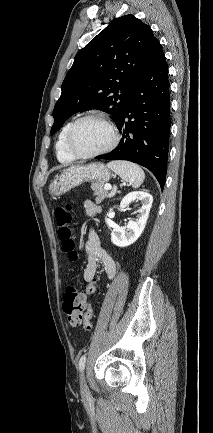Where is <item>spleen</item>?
I'll use <instances>...</instances> for the list:
<instances>
[{"instance_id": "spleen-1", "label": "spleen", "mask_w": 213, "mask_h": 433, "mask_svg": "<svg viewBox=\"0 0 213 433\" xmlns=\"http://www.w3.org/2000/svg\"><path fill=\"white\" fill-rule=\"evenodd\" d=\"M107 167L133 188L140 187L145 179L144 171L138 165L128 161H112L107 164Z\"/></svg>"}]
</instances>
